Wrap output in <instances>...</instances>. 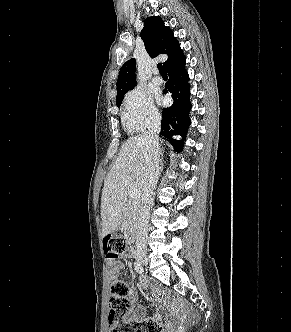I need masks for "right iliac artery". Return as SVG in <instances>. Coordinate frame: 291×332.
I'll return each mask as SVG.
<instances>
[{"instance_id":"right-iliac-artery-1","label":"right iliac artery","mask_w":291,"mask_h":332,"mask_svg":"<svg viewBox=\"0 0 291 332\" xmlns=\"http://www.w3.org/2000/svg\"><path fill=\"white\" fill-rule=\"evenodd\" d=\"M134 268H135V270H136L139 274H142V273H143V267L141 266L140 263L135 262V263H134Z\"/></svg>"}]
</instances>
